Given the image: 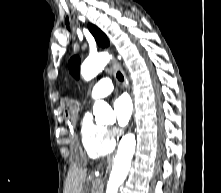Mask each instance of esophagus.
Here are the masks:
<instances>
[{"label": "esophagus", "mask_w": 221, "mask_h": 193, "mask_svg": "<svg viewBox=\"0 0 221 193\" xmlns=\"http://www.w3.org/2000/svg\"><path fill=\"white\" fill-rule=\"evenodd\" d=\"M67 23V22H66ZM71 21L69 20V26L71 27ZM66 26V25H65ZM112 64H113V67L117 70H120L123 77H124V86L128 89V91L130 92V87H129V83H128V80H127V77L122 69V66L121 64L116 60V59H112ZM132 96V94H131ZM131 102H132V108L134 109L136 106L134 105L135 102H136V97H131ZM132 127L135 125L133 122L130 124ZM132 130V129H131Z\"/></svg>", "instance_id": "obj_1"}]
</instances>
